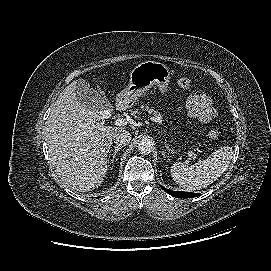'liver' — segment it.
I'll return each instance as SVG.
<instances>
[{"label":"liver","instance_id":"1","mask_svg":"<svg viewBox=\"0 0 271 271\" xmlns=\"http://www.w3.org/2000/svg\"><path fill=\"white\" fill-rule=\"evenodd\" d=\"M76 81L58 96L47 121L49 161L69 187L87 192L101 185L107 172V155L113 135L122 127L104 126V117L81 105Z\"/></svg>","mask_w":271,"mask_h":271}]
</instances>
